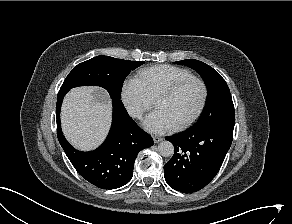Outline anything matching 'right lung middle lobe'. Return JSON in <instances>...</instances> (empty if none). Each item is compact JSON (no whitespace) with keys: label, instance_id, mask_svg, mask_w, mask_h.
<instances>
[{"label":"right lung middle lobe","instance_id":"dd1d6c3e","mask_svg":"<svg viewBox=\"0 0 292 224\" xmlns=\"http://www.w3.org/2000/svg\"><path fill=\"white\" fill-rule=\"evenodd\" d=\"M144 61H129L108 56H97L74 67L60 90L96 85L105 88L112 100L121 101L123 82L128 74Z\"/></svg>","mask_w":292,"mask_h":224}]
</instances>
